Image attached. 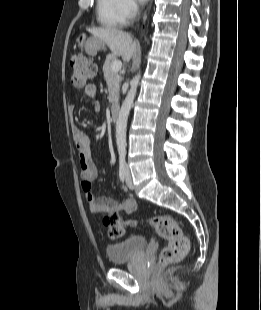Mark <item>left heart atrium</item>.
Here are the masks:
<instances>
[{
	"instance_id": "1",
	"label": "left heart atrium",
	"mask_w": 261,
	"mask_h": 310,
	"mask_svg": "<svg viewBox=\"0 0 261 310\" xmlns=\"http://www.w3.org/2000/svg\"><path fill=\"white\" fill-rule=\"evenodd\" d=\"M139 1H141V2H146L147 0H139Z\"/></svg>"
}]
</instances>
